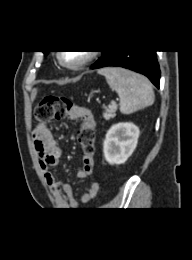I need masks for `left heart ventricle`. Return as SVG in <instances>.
<instances>
[{
    "mask_svg": "<svg viewBox=\"0 0 192 260\" xmlns=\"http://www.w3.org/2000/svg\"><path fill=\"white\" fill-rule=\"evenodd\" d=\"M85 56L83 51H67L63 52L64 60L68 63H76Z\"/></svg>",
    "mask_w": 192,
    "mask_h": 260,
    "instance_id": "left-heart-ventricle-1",
    "label": "left heart ventricle"
}]
</instances>
